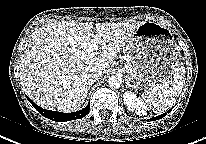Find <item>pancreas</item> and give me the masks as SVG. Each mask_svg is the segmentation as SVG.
<instances>
[{
    "label": "pancreas",
    "mask_w": 206,
    "mask_h": 144,
    "mask_svg": "<svg viewBox=\"0 0 206 144\" xmlns=\"http://www.w3.org/2000/svg\"><path fill=\"white\" fill-rule=\"evenodd\" d=\"M126 65H127V72L129 73V75H133L131 60L129 57H127Z\"/></svg>",
    "instance_id": "pancreas-1"
}]
</instances>
